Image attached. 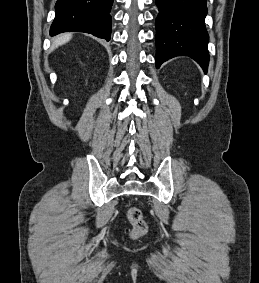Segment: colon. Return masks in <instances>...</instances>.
Instances as JSON below:
<instances>
[{
	"label": "colon",
	"instance_id": "5ec220e1",
	"mask_svg": "<svg viewBox=\"0 0 259 283\" xmlns=\"http://www.w3.org/2000/svg\"><path fill=\"white\" fill-rule=\"evenodd\" d=\"M127 218L132 225L131 234L133 237L141 236L146 232L147 224L143 218L142 212L138 208L131 207L127 211Z\"/></svg>",
	"mask_w": 259,
	"mask_h": 283
}]
</instances>
